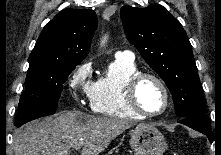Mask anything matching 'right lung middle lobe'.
<instances>
[{
	"label": "right lung middle lobe",
	"mask_w": 221,
	"mask_h": 155,
	"mask_svg": "<svg viewBox=\"0 0 221 155\" xmlns=\"http://www.w3.org/2000/svg\"><path fill=\"white\" fill-rule=\"evenodd\" d=\"M28 62L30 66L25 80V91L19 101L15 126L54 114L62 85L78 65L40 60Z\"/></svg>",
	"instance_id": "right-lung-middle-lobe-1"
}]
</instances>
